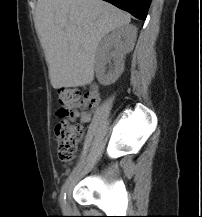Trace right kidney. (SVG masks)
Instances as JSON below:
<instances>
[{
  "label": "right kidney",
  "instance_id": "right-kidney-1",
  "mask_svg": "<svg viewBox=\"0 0 202 217\" xmlns=\"http://www.w3.org/2000/svg\"><path fill=\"white\" fill-rule=\"evenodd\" d=\"M136 38L137 28L134 25L116 28L103 38L98 45L95 59L96 77L100 84L111 85L121 76L125 55L133 50ZM108 63L110 67L106 71Z\"/></svg>",
  "mask_w": 202,
  "mask_h": 217
}]
</instances>
